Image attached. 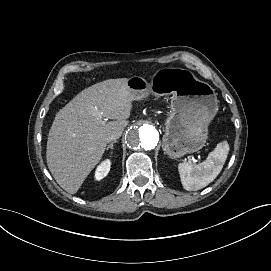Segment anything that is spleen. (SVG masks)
I'll return each mask as SVG.
<instances>
[{
  "mask_svg": "<svg viewBox=\"0 0 271 271\" xmlns=\"http://www.w3.org/2000/svg\"><path fill=\"white\" fill-rule=\"evenodd\" d=\"M228 151L229 145L226 142H221L200 164L192 165L188 162H180L177 166L180 178L188 185H195L197 189L208 185L220 173ZM184 188L189 190L186 186Z\"/></svg>",
  "mask_w": 271,
  "mask_h": 271,
  "instance_id": "1",
  "label": "spleen"
}]
</instances>
